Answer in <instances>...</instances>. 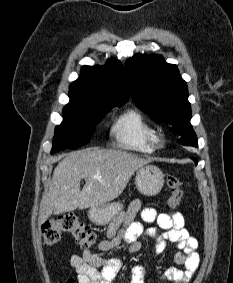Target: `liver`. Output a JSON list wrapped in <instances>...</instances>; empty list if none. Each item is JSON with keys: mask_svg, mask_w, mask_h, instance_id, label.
Returning a JSON list of instances; mask_svg holds the SVG:
<instances>
[{"mask_svg": "<svg viewBox=\"0 0 233 283\" xmlns=\"http://www.w3.org/2000/svg\"><path fill=\"white\" fill-rule=\"evenodd\" d=\"M149 162L134 154L111 149L91 148L68 155L56 166L50 188L42 197L39 225L46 222L54 210L86 209L116 199L134 172ZM81 179L85 180L82 190Z\"/></svg>", "mask_w": 233, "mask_h": 283, "instance_id": "6515ba94", "label": "liver"}]
</instances>
